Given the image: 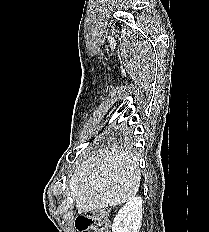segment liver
Wrapping results in <instances>:
<instances>
[{
  "instance_id": "liver-1",
  "label": "liver",
  "mask_w": 209,
  "mask_h": 232,
  "mask_svg": "<svg viewBox=\"0 0 209 232\" xmlns=\"http://www.w3.org/2000/svg\"><path fill=\"white\" fill-rule=\"evenodd\" d=\"M141 181L138 158L128 150H103L76 167L69 196L78 213L116 206L132 199Z\"/></svg>"
}]
</instances>
